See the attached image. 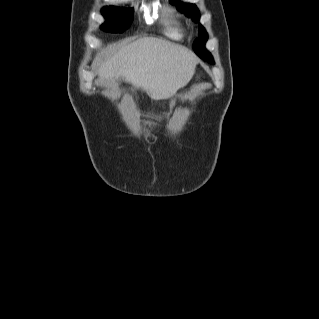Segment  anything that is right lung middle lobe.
<instances>
[{"instance_id": "right-lung-middle-lobe-1", "label": "right lung middle lobe", "mask_w": 319, "mask_h": 319, "mask_svg": "<svg viewBox=\"0 0 319 319\" xmlns=\"http://www.w3.org/2000/svg\"><path fill=\"white\" fill-rule=\"evenodd\" d=\"M102 14L107 20L101 26L103 30L112 33H122L131 24L133 10L110 6L104 7L102 9Z\"/></svg>"}]
</instances>
